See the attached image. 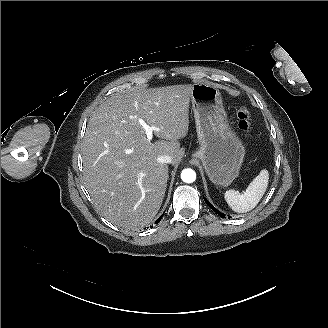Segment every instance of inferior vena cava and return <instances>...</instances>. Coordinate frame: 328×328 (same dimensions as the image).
I'll return each mask as SVG.
<instances>
[{
	"instance_id": "obj_1",
	"label": "inferior vena cava",
	"mask_w": 328,
	"mask_h": 328,
	"mask_svg": "<svg viewBox=\"0 0 328 328\" xmlns=\"http://www.w3.org/2000/svg\"><path fill=\"white\" fill-rule=\"evenodd\" d=\"M172 158L169 155H161L158 157V162L159 163H171Z\"/></svg>"
}]
</instances>
